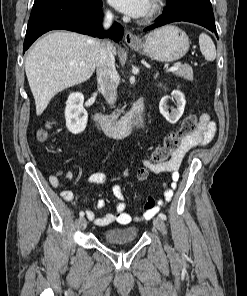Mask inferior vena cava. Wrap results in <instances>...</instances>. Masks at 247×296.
I'll list each match as a JSON object with an SVG mask.
<instances>
[{
    "label": "inferior vena cava",
    "instance_id": "1",
    "mask_svg": "<svg viewBox=\"0 0 247 296\" xmlns=\"http://www.w3.org/2000/svg\"><path fill=\"white\" fill-rule=\"evenodd\" d=\"M113 15L106 13L104 26L109 27L112 24ZM97 82L105 100L109 105H114L117 99V71L115 68V57L113 45L107 40L100 44L99 56L97 61Z\"/></svg>",
    "mask_w": 247,
    "mask_h": 296
}]
</instances>
